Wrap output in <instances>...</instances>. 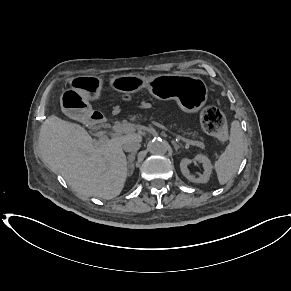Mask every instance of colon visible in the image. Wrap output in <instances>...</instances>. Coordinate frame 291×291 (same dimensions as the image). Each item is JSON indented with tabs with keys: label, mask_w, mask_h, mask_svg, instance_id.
<instances>
[{
	"label": "colon",
	"mask_w": 291,
	"mask_h": 291,
	"mask_svg": "<svg viewBox=\"0 0 291 291\" xmlns=\"http://www.w3.org/2000/svg\"><path fill=\"white\" fill-rule=\"evenodd\" d=\"M201 124L204 130L221 141L227 139V122L222 110L215 105L206 106L201 113Z\"/></svg>",
	"instance_id": "colon-1"
}]
</instances>
